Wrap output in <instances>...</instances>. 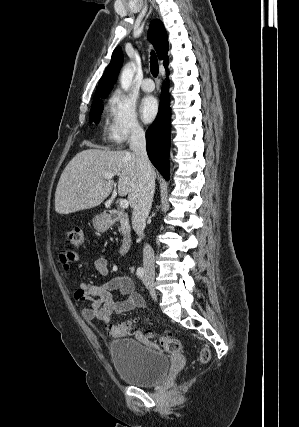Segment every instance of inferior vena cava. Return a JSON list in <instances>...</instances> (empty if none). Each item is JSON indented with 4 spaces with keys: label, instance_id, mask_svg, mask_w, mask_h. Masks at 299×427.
I'll return each mask as SVG.
<instances>
[{
    "label": "inferior vena cava",
    "instance_id": "inferior-vena-cava-1",
    "mask_svg": "<svg viewBox=\"0 0 299 427\" xmlns=\"http://www.w3.org/2000/svg\"><path fill=\"white\" fill-rule=\"evenodd\" d=\"M130 149L136 156L139 174V194L132 212V226L136 234L144 237L145 221L150 212L155 190L154 172L146 151L145 133L140 126L132 129L129 140ZM154 251L149 244L143 248V267L145 274L154 275Z\"/></svg>",
    "mask_w": 299,
    "mask_h": 427
}]
</instances>
